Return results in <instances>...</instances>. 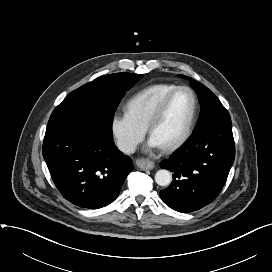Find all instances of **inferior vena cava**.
<instances>
[{
	"instance_id": "obj_1",
	"label": "inferior vena cava",
	"mask_w": 272,
	"mask_h": 272,
	"mask_svg": "<svg viewBox=\"0 0 272 272\" xmlns=\"http://www.w3.org/2000/svg\"><path fill=\"white\" fill-rule=\"evenodd\" d=\"M119 149L124 153H134L136 150V144L133 142H121L118 144Z\"/></svg>"
}]
</instances>
